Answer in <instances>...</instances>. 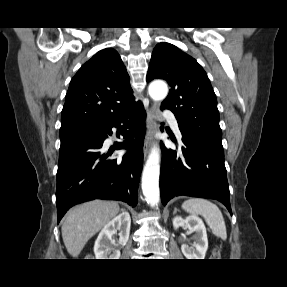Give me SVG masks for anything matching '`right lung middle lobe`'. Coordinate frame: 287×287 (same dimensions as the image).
<instances>
[{"label": "right lung middle lobe", "instance_id": "1", "mask_svg": "<svg viewBox=\"0 0 287 287\" xmlns=\"http://www.w3.org/2000/svg\"><path fill=\"white\" fill-rule=\"evenodd\" d=\"M94 128L95 126L84 123L62 126L60 128V140L73 136L94 133Z\"/></svg>", "mask_w": 287, "mask_h": 287}]
</instances>
